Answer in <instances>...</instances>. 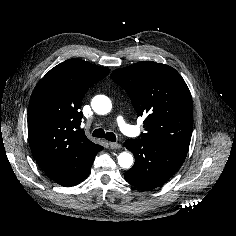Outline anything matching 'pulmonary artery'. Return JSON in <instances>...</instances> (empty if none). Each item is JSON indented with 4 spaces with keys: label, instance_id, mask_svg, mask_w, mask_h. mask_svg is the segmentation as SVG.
<instances>
[{
    "label": "pulmonary artery",
    "instance_id": "obj_1",
    "mask_svg": "<svg viewBox=\"0 0 236 236\" xmlns=\"http://www.w3.org/2000/svg\"><path fill=\"white\" fill-rule=\"evenodd\" d=\"M116 123L124 134L130 135L133 133L134 128L126 122L122 115L116 117Z\"/></svg>",
    "mask_w": 236,
    "mask_h": 236
}]
</instances>
